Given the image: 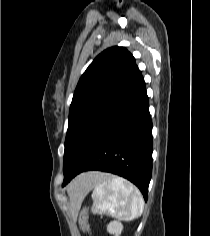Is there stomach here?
<instances>
[{
    "label": "stomach",
    "instance_id": "stomach-1",
    "mask_svg": "<svg viewBox=\"0 0 210 236\" xmlns=\"http://www.w3.org/2000/svg\"><path fill=\"white\" fill-rule=\"evenodd\" d=\"M79 225L82 231H89L90 225L88 223V211L87 209H83L81 211L80 217H79Z\"/></svg>",
    "mask_w": 210,
    "mask_h": 236
}]
</instances>
